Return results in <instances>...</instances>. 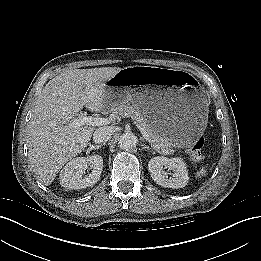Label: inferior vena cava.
Masks as SVG:
<instances>
[{"label":"inferior vena cava","mask_w":261,"mask_h":261,"mask_svg":"<svg viewBox=\"0 0 261 261\" xmlns=\"http://www.w3.org/2000/svg\"><path fill=\"white\" fill-rule=\"evenodd\" d=\"M112 136V129L110 127H100L96 129L93 134L95 143H104L110 140Z\"/></svg>","instance_id":"1"}]
</instances>
